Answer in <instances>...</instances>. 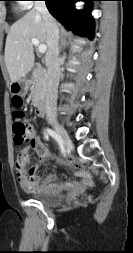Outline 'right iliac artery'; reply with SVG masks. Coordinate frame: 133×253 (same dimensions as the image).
<instances>
[{
    "label": "right iliac artery",
    "instance_id": "right-iliac-artery-1",
    "mask_svg": "<svg viewBox=\"0 0 133 253\" xmlns=\"http://www.w3.org/2000/svg\"><path fill=\"white\" fill-rule=\"evenodd\" d=\"M46 132L47 134H49L52 138H54L58 144L61 146L62 148V152L64 153V148H63V142H62V139L61 137L58 135L57 132H55L54 130L50 129V128H46Z\"/></svg>",
    "mask_w": 133,
    "mask_h": 253
}]
</instances>
